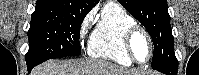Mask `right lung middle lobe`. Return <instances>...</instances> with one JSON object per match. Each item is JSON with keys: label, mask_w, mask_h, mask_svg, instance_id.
Masks as SVG:
<instances>
[{"label": "right lung middle lobe", "mask_w": 199, "mask_h": 75, "mask_svg": "<svg viewBox=\"0 0 199 75\" xmlns=\"http://www.w3.org/2000/svg\"><path fill=\"white\" fill-rule=\"evenodd\" d=\"M85 16L59 8H35L28 30L26 62L38 65L49 59L79 56L80 27Z\"/></svg>", "instance_id": "right-lung-middle-lobe-1"}]
</instances>
